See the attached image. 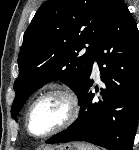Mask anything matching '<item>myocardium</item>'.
Wrapping results in <instances>:
<instances>
[{"label":"myocardium","instance_id":"1","mask_svg":"<svg viewBox=\"0 0 139 150\" xmlns=\"http://www.w3.org/2000/svg\"><path fill=\"white\" fill-rule=\"evenodd\" d=\"M51 95H59V96H62L66 100L68 107H69L68 116L59 126L52 129L51 131H49L45 134H42V135L33 134L30 129L31 113H32L34 107L36 106V104L40 100H42L43 98H45L47 96H51ZM79 114H80V103H79L78 98L76 97V95L73 92H71L68 89L60 88V87L51 88V89L45 90L42 93H40L30 104V106L27 110L26 116H25L26 131L33 138L45 139V138H48L52 135H55L65 129L69 128L77 120V118L79 117Z\"/></svg>","mask_w":139,"mask_h":150}]
</instances>
